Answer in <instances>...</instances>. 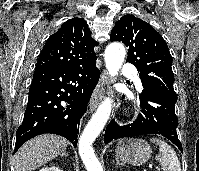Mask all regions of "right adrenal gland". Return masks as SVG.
<instances>
[{
    "label": "right adrenal gland",
    "instance_id": "right-adrenal-gland-1",
    "mask_svg": "<svg viewBox=\"0 0 199 171\" xmlns=\"http://www.w3.org/2000/svg\"><path fill=\"white\" fill-rule=\"evenodd\" d=\"M60 156H61V157H64V156L67 157L68 155H67V153H66L65 151H63L62 154H61Z\"/></svg>",
    "mask_w": 199,
    "mask_h": 171
}]
</instances>
